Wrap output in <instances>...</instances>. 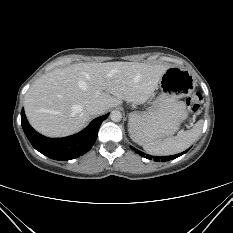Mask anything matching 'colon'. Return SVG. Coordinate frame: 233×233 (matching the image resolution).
<instances>
[{
	"label": "colon",
	"mask_w": 233,
	"mask_h": 233,
	"mask_svg": "<svg viewBox=\"0 0 233 233\" xmlns=\"http://www.w3.org/2000/svg\"><path fill=\"white\" fill-rule=\"evenodd\" d=\"M201 103H202V96L198 92L193 93L187 99L188 108L191 112L194 113L199 110Z\"/></svg>",
	"instance_id": "colon-1"
}]
</instances>
